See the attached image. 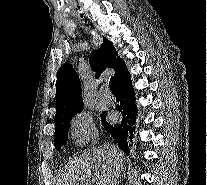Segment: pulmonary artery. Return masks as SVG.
<instances>
[{"instance_id": "obj_1", "label": "pulmonary artery", "mask_w": 207, "mask_h": 185, "mask_svg": "<svg viewBox=\"0 0 207 185\" xmlns=\"http://www.w3.org/2000/svg\"><path fill=\"white\" fill-rule=\"evenodd\" d=\"M98 98L104 103H111L113 101V95L110 92L104 90L99 91Z\"/></svg>"}]
</instances>
